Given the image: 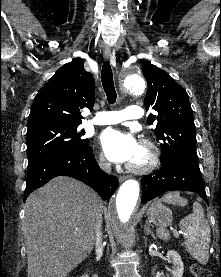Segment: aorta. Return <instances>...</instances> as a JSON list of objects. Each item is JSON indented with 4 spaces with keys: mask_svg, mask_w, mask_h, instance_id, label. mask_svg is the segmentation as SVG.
I'll use <instances>...</instances> for the list:
<instances>
[{
    "mask_svg": "<svg viewBox=\"0 0 221 277\" xmlns=\"http://www.w3.org/2000/svg\"><path fill=\"white\" fill-rule=\"evenodd\" d=\"M121 84L125 95L142 94L146 87L144 77L137 70L125 71L121 77ZM139 192L138 181L128 179L111 197L108 204L112 230L125 248H131L135 243V219Z\"/></svg>",
    "mask_w": 221,
    "mask_h": 277,
    "instance_id": "obj_1",
    "label": "aorta"
}]
</instances>
